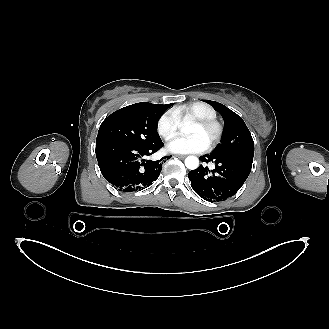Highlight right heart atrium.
<instances>
[{"label":"right heart atrium","instance_id":"obj_1","mask_svg":"<svg viewBox=\"0 0 329 329\" xmlns=\"http://www.w3.org/2000/svg\"><path fill=\"white\" fill-rule=\"evenodd\" d=\"M180 120L174 110L164 112L157 120L156 130L161 138L170 140L177 135Z\"/></svg>","mask_w":329,"mask_h":329}]
</instances>
